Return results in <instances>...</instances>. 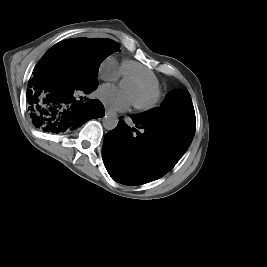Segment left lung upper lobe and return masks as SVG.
Returning a JSON list of instances; mask_svg holds the SVG:
<instances>
[{
	"label": "left lung upper lobe",
	"instance_id": "5c2ea615",
	"mask_svg": "<svg viewBox=\"0 0 267 267\" xmlns=\"http://www.w3.org/2000/svg\"><path fill=\"white\" fill-rule=\"evenodd\" d=\"M146 123L179 129L194 136L196 129L195 111L187 90H173L159 108L133 115Z\"/></svg>",
	"mask_w": 267,
	"mask_h": 267
}]
</instances>
